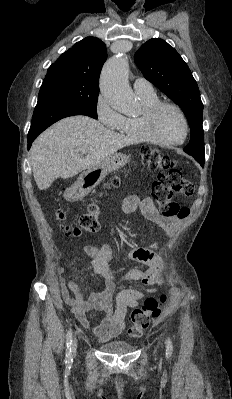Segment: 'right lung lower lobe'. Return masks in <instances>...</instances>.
<instances>
[{"label": "right lung lower lobe", "instance_id": "98d812e1", "mask_svg": "<svg viewBox=\"0 0 232 399\" xmlns=\"http://www.w3.org/2000/svg\"><path fill=\"white\" fill-rule=\"evenodd\" d=\"M74 115H87L97 119L76 105L58 100L38 98L28 133V150L36 137L46 128L62 118Z\"/></svg>", "mask_w": 232, "mask_h": 399}]
</instances>
